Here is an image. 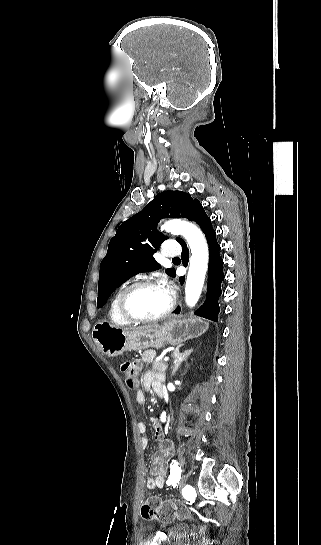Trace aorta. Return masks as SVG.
<instances>
[{
	"instance_id": "1",
	"label": "aorta",
	"mask_w": 321,
	"mask_h": 545,
	"mask_svg": "<svg viewBox=\"0 0 321 545\" xmlns=\"http://www.w3.org/2000/svg\"><path fill=\"white\" fill-rule=\"evenodd\" d=\"M161 230L182 235L191 251L189 271L185 285V299L189 307L195 306L202 292L205 276L208 268V245L201 230L194 224L183 220L167 221L161 226ZM166 413L161 415V421H165Z\"/></svg>"
}]
</instances>
